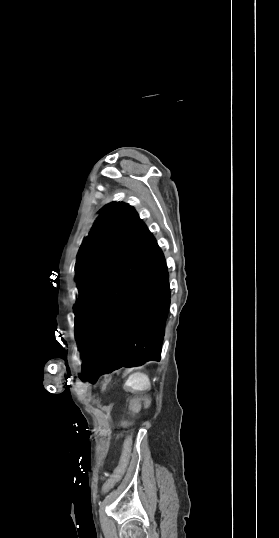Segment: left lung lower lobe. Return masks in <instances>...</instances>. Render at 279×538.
<instances>
[{
	"instance_id": "left-lung-lower-lobe-1",
	"label": "left lung lower lobe",
	"mask_w": 279,
	"mask_h": 538,
	"mask_svg": "<svg viewBox=\"0 0 279 538\" xmlns=\"http://www.w3.org/2000/svg\"><path fill=\"white\" fill-rule=\"evenodd\" d=\"M169 306L165 258L149 233L75 324L84 377L159 361Z\"/></svg>"
}]
</instances>
